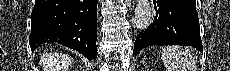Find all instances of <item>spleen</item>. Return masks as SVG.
<instances>
[{
	"mask_svg": "<svg viewBox=\"0 0 230 71\" xmlns=\"http://www.w3.org/2000/svg\"><path fill=\"white\" fill-rule=\"evenodd\" d=\"M161 60L167 71H196V61L189 50L179 46L162 48Z\"/></svg>",
	"mask_w": 230,
	"mask_h": 71,
	"instance_id": "1",
	"label": "spleen"
}]
</instances>
